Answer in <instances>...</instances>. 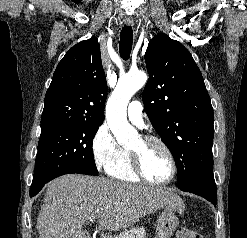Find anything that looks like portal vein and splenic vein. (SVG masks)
I'll return each instance as SVG.
<instances>
[{"label": "portal vein and splenic vein", "instance_id": "1", "mask_svg": "<svg viewBox=\"0 0 247 238\" xmlns=\"http://www.w3.org/2000/svg\"><path fill=\"white\" fill-rule=\"evenodd\" d=\"M94 219H89L90 222H93Z\"/></svg>", "mask_w": 247, "mask_h": 238}]
</instances>
